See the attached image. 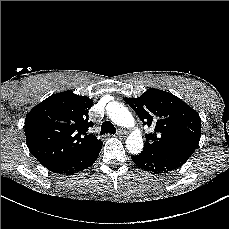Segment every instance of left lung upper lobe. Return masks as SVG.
Returning a JSON list of instances; mask_svg holds the SVG:
<instances>
[{
  "label": "left lung upper lobe",
  "mask_w": 229,
  "mask_h": 229,
  "mask_svg": "<svg viewBox=\"0 0 229 229\" xmlns=\"http://www.w3.org/2000/svg\"><path fill=\"white\" fill-rule=\"evenodd\" d=\"M143 124L155 127L146 134L142 153L190 157L201 137L199 114L177 96L149 89L138 98H124Z\"/></svg>",
  "instance_id": "1"
}]
</instances>
